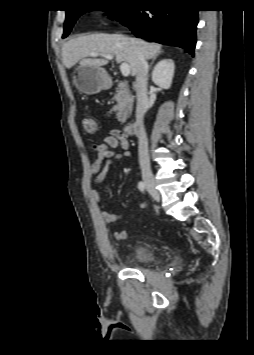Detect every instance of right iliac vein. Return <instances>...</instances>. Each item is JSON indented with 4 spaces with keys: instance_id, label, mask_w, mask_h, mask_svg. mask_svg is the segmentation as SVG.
Returning <instances> with one entry per match:
<instances>
[{
    "instance_id": "63e3f726",
    "label": "right iliac vein",
    "mask_w": 254,
    "mask_h": 355,
    "mask_svg": "<svg viewBox=\"0 0 254 355\" xmlns=\"http://www.w3.org/2000/svg\"><path fill=\"white\" fill-rule=\"evenodd\" d=\"M142 177H143L145 186H146L147 190L149 191V193L152 195V197L154 199L159 201L160 195H159L158 190L156 189V183H155V180L153 178L151 170L143 169L142 170Z\"/></svg>"
}]
</instances>
